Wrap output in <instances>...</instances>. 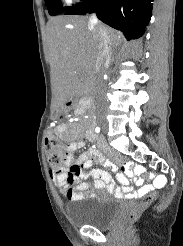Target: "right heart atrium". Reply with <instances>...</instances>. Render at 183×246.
I'll return each mask as SVG.
<instances>
[{
    "label": "right heart atrium",
    "mask_w": 183,
    "mask_h": 246,
    "mask_svg": "<svg viewBox=\"0 0 183 246\" xmlns=\"http://www.w3.org/2000/svg\"><path fill=\"white\" fill-rule=\"evenodd\" d=\"M66 2H68V3H70V2H73V1H75V0H65Z\"/></svg>",
    "instance_id": "right-heart-atrium-1"
}]
</instances>
